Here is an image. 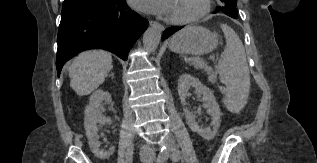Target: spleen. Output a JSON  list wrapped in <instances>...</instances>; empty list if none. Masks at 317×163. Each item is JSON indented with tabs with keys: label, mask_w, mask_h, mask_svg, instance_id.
I'll use <instances>...</instances> for the list:
<instances>
[{
	"label": "spleen",
	"mask_w": 317,
	"mask_h": 163,
	"mask_svg": "<svg viewBox=\"0 0 317 163\" xmlns=\"http://www.w3.org/2000/svg\"><path fill=\"white\" fill-rule=\"evenodd\" d=\"M226 38V47L216 67L220 81L226 86L223 100L232 113H239L246 104L250 90V74L242 41L235 31L221 24Z\"/></svg>",
	"instance_id": "1"
}]
</instances>
